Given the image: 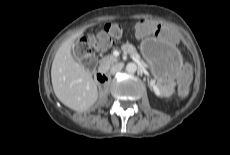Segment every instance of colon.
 Returning a JSON list of instances; mask_svg holds the SVG:
<instances>
[{
    "instance_id": "obj_1",
    "label": "colon",
    "mask_w": 230,
    "mask_h": 155,
    "mask_svg": "<svg viewBox=\"0 0 230 155\" xmlns=\"http://www.w3.org/2000/svg\"><path fill=\"white\" fill-rule=\"evenodd\" d=\"M123 36V29L119 24L109 23L100 28L96 33L83 38L76 46V53L84 64L92 69L96 66L97 60L93 50H105L114 41ZM190 74L188 66L182 65L180 68V92H184Z\"/></svg>"
}]
</instances>
